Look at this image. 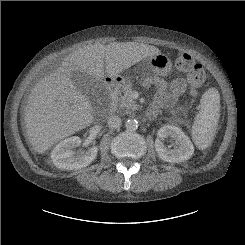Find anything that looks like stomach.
<instances>
[{"label": "stomach", "mask_w": 245, "mask_h": 245, "mask_svg": "<svg viewBox=\"0 0 245 245\" xmlns=\"http://www.w3.org/2000/svg\"><path fill=\"white\" fill-rule=\"evenodd\" d=\"M144 66L150 69L153 73L164 76L171 71L172 63L167 55L159 53L148 58Z\"/></svg>", "instance_id": "stomach-1"}]
</instances>
